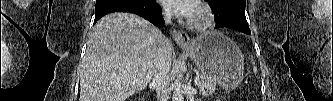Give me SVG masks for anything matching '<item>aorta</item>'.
I'll list each match as a JSON object with an SVG mask.
<instances>
[{
    "instance_id": "aorta-1",
    "label": "aorta",
    "mask_w": 333,
    "mask_h": 101,
    "mask_svg": "<svg viewBox=\"0 0 333 101\" xmlns=\"http://www.w3.org/2000/svg\"><path fill=\"white\" fill-rule=\"evenodd\" d=\"M173 88L174 92H173L172 101H184V92L182 90V86L179 80H177L174 83Z\"/></svg>"
}]
</instances>
